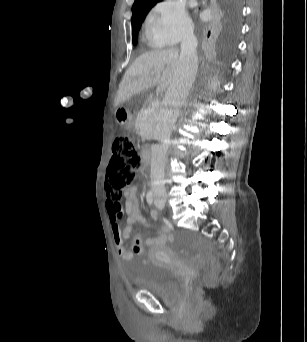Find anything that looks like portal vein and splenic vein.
I'll return each mask as SVG.
<instances>
[{"label":"portal vein and splenic vein","mask_w":307,"mask_h":342,"mask_svg":"<svg viewBox=\"0 0 307 342\" xmlns=\"http://www.w3.org/2000/svg\"><path fill=\"white\" fill-rule=\"evenodd\" d=\"M154 72H152V76H153ZM148 112H147V115L148 116H151L152 115V112L155 110V109H159L160 108V103L159 102H150L149 105H148Z\"/></svg>","instance_id":"obj_1"}]
</instances>
